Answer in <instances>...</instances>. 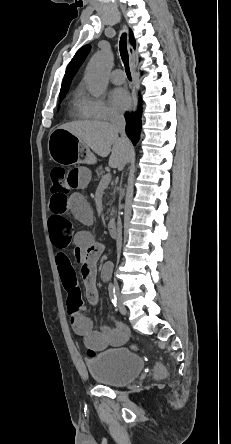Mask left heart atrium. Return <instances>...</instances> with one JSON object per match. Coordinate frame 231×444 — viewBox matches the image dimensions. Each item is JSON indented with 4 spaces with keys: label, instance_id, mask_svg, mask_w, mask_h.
Instances as JSON below:
<instances>
[{
    "label": "left heart atrium",
    "instance_id": "obj_1",
    "mask_svg": "<svg viewBox=\"0 0 231 444\" xmlns=\"http://www.w3.org/2000/svg\"><path fill=\"white\" fill-rule=\"evenodd\" d=\"M110 101L115 108L125 110L131 104V97L125 89L116 88L110 93Z\"/></svg>",
    "mask_w": 231,
    "mask_h": 444
}]
</instances>
